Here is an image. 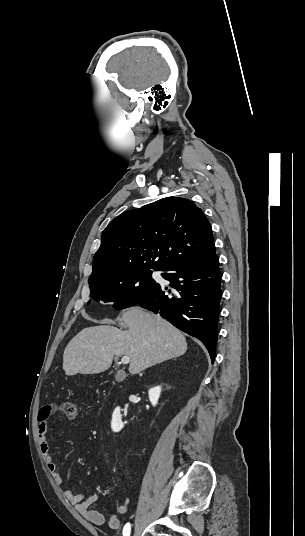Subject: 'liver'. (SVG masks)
<instances>
[{
    "label": "liver",
    "mask_w": 305,
    "mask_h": 536,
    "mask_svg": "<svg viewBox=\"0 0 305 536\" xmlns=\"http://www.w3.org/2000/svg\"><path fill=\"white\" fill-rule=\"evenodd\" d=\"M122 320L129 328L126 332L113 326H94L74 336L63 354L66 376L105 372L114 356H128L130 374H140L146 368L187 352L183 334L161 316L142 308H129ZM97 324L112 322L101 320Z\"/></svg>",
    "instance_id": "liver-1"
}]
</instances>
